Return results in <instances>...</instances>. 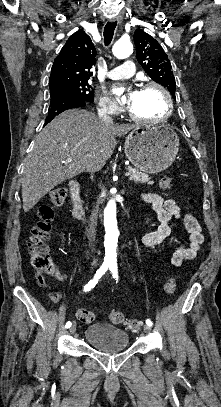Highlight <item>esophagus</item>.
Instances as JSON below:
<instances>
[{
  "label": "esophagus",
  "mask_w": 221,
  "mask_h": 407,
  "mask_svg": "<svg viewBox=\"0 0 221 407\" xmlns=\"http://www.w3.org/2000/svg\"><path fill=\"white\" fill-rule=\"evenodd\" d=\"M112 21L113 22L117 21L118 23H121L122 22V17L121 16H115V17L112 18Z\"/></svg>",
  "instance_id": "obj_1"
}]
</instances>
